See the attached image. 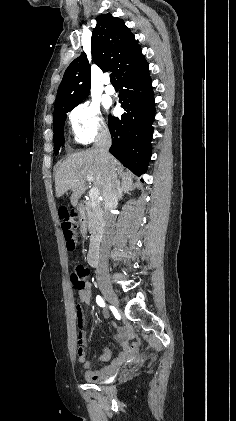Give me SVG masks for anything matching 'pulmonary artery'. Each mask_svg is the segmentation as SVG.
I'll return each instance as SVG.
<instances>
[{"label": "pulmonary artery", "instance_id": "e3ab8cb5", "mask_svg": "<svg viewBox=\"0 0 236 421\" xmlns=\"http://www.w3.org/2000/svg\"><path fill=\"white\" fill-rule=\"evenodd\" d=\"M104 91L106 92V94L108 95H114L115 94V89L112 85L110 84H106L104 87Z\"/></svg>", "mask_w": 236, "mask_h": 421}]
</instances>
